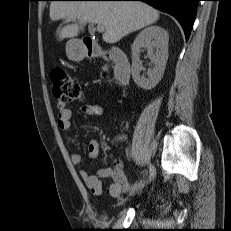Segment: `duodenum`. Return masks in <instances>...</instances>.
Returning <instances> with one entry per match:
<instances>
[{
  "label": "duodenum",
  "instance_id": "obj_1",
  "mask_svg": "<svg viewBox=\"0 0 231 231\" xmlns=\"http://www.w3.org/2000/svg\"><path fill=\"white\" fill-rule=\"evenodd\" d=\"M82 52L86 57H100L105 55L98 43L90 38H84L82 41ZM107 58L114 67V78L120 85H126L130 78V65L119 48L112 47L107 53Z\"/></svg>",
  "mask_w": 231,
  "mask_h": 231
}]
</instances>
